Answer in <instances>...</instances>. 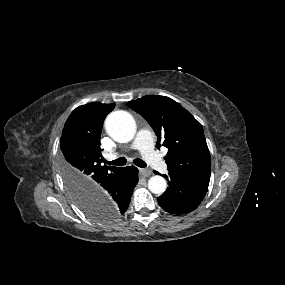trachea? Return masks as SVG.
Listing matches in <instances>:
<instances>
[{
  "instance_id": "3493384b",
  "label": "trachea",
  "mask_w": 285,
  "mask_h": 285,
  "mask_svg": "<svg viewBox=\"0 0 285 285\" xmlns=\"http://www.w3.org/2000/svg\"><path fill=\"white\" fill-rule=\"evenodd\" d=\"M103 162L108 164V165L124 166L127 163V159L124 157H120V158L113 160V161L103 160ZM133 163L136 166L141 167V168H144L146 166V163L140 158L134 159Z\"/></svg>"
}]
</instances>
